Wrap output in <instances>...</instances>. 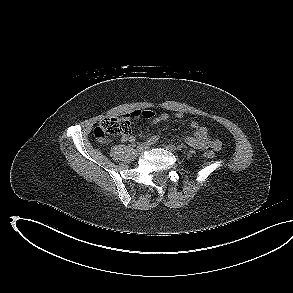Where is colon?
<instances>
[{
	"label": "colon",
	"instance_id": "colon-1",
	"mask_svg": "<svg viewBox=\"0 0 293 293\" xmlns=\"http://www.w3.org/2000/svg\"><path fill=\"white\" fill-rule=\"evenodd\" d=\"M131 132L130 119L124 117H108L94 129V136L99 141H106L109 137L129 135ZM208 158L214 157V152L205 153Z\"/></svg>",
	"mask_w": 293,
	"mask_h": 293
}]
</instances>
